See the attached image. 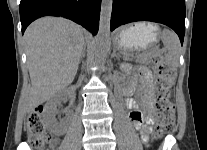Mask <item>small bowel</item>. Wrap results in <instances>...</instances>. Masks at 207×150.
I'll list each match as a JSON object with an SVG mask.
<instances>
[{
  "label": "small bowel",
  "instance_id": "small-bowel-1",
  "mask_svg": "<svg viewBox=\"0 0 207 150\" xmlns=\"http://www.w3.org/2000/svg\"><path fill=\"white\" fill-rule=\"evenodd\" d=\"M141 85L138 89L139 96L146 107V113L138 110L132 100H128L130 106L129 117L135 128L139 131L144 142L148 141L153 124V84L152 75L146 67L140 68ZM135 90V84L132 82L124 89V94L129 96Z\"/></svg>",
  "mask_w": 207,
  "mask_h": 150
}]
</instances>
